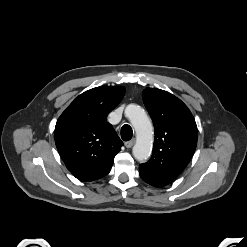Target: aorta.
<instances>
[{
	"label": "aorta",
	"mask_w": 247,
	"mask_h": 247,
	"mask_svg": "<svg viewBox=\"0 0 247 247\" xmlns=\"http://www.w3.org/2000/svg\"><path fill=\"white\" fill-rule=\"evenodd\" d=\"M125 114L136 132V143L133 146V155L138 161L147 160L152 151L154 139L153 126L144 109L138 105L130 104Z\"/></svg>",
	"instance_id": "obj_1"
}]
</instances>
